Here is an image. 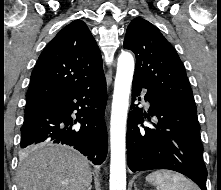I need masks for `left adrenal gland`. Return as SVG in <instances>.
<instances>
[{
  "label": "left adrenal gland",
  "instance_id": "1",
  "mask_svg": "<svg viewBox=\"0 0 221 190\" xmlns=\"http://www.w3.org/2000/svg\"><path fill=\"white\" fill-rule=\"evenodd\" d=\"M134 187H135V190H138L137 187H136V185H134Z\"/></svg>",
  "mask_w": 221,
  "mask_h": 190
}]
</instances>
